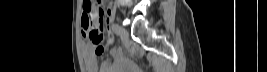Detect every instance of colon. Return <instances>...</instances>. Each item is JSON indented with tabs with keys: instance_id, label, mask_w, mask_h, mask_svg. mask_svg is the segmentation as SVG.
Here are the masks:
<instances>
[{
	"instance_id": "colon-1",
	"label": "colon",
	"mask_w": 267,
	"mask_h": 72,
	"mask_svg": "<svg viewBox=\"0 0 267 72\" xmlns=\"http://www.w3.org/2000/svg\"><path fill=\"white\" fill-rule=\"evenodd\" d=\"M103 16L104 9L98 1H84L82 12L83 34L96 48L97 54H101L104 49Z\"/></svg>"
}]
</instances>
